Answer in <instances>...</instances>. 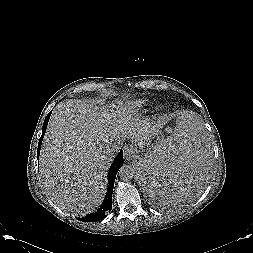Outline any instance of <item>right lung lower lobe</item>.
I'll return each instance as SVG.
<instances>
[{"instance_id": "98d812e1", "label": "right lung lower lobe", "mask_w": 253, "mask_h": 253, "mask_svg": "<svg viewBox=\"0 0 253 253\" xmlns=\"http://www.w3.org/2000/svg\"><path fill=\"white\" fill-rule=\"evenodd\" d=\"M51 112L52 111H50L49 114L46 116V118L44 120V123H43L42 135H41V138H40L39 143H38V150H37V157L38 158H39V154H40L41 143H42L44 134L46 132V128H47V125H48V121H49ZM122 165H123V151L118 153V155L114 159L112 165L110 166V169H109V172H108L107 193H106V196H105V199H104L102 205L100 206V208L95 213L88 214L83 218H78L79 220L84 221V222H95V221L104 219L107 216L106 214L109 211H111L114 181H115V178H116V174H117L118 170L120 169V167Z\"/></svg>"}]
</instances>
